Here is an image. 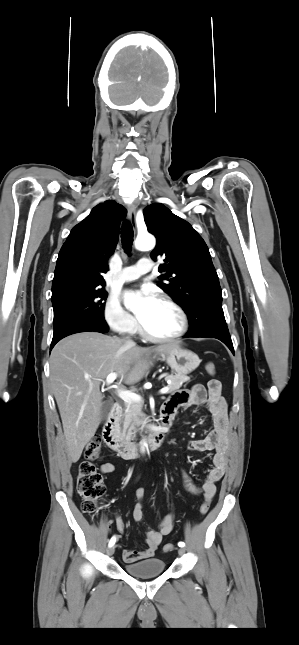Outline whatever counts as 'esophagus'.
Listing matches in <instances>:
<instances>
[{"mask_svg":"<svg viewBox=\"0 0 299 645\" xmlns=\"http://www.w3.org/2000/svg\"><path fill=\"white\" fill-rule=\"evenodd\" d=\"M128 218L130 222L132 223L133 226H135L136 222V206L135 204H131L128 206Z\"/></svg>","mask_w":299,"mask_h":645,"instance_id":"esophagus-1","label":"esophagus"}]
</instances>
